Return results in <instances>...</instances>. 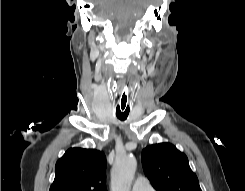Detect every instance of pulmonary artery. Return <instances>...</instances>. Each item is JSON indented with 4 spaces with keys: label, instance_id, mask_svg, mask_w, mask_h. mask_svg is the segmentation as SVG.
I'll return each instance as SVG.
<instances>
[{
    "label": "pulmonary artery",
    "instance_id": "1",
    "mask_svg": "<svg viewBox=\"0 0 245 191\" xmlns=\"http://www.w3.org/2000/svg\"><path fill=\"white\" fill-rule=\"evenodd\" d=\"M132 191H155L147 179L139 177L135 180Z\"/></svg>",
    "mask_w": 245,
    "mask_h": 191
}]
</instances>
